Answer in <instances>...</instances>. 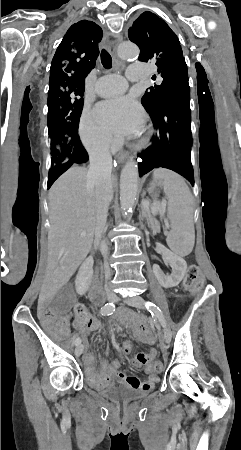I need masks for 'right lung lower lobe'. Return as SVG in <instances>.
Returning a JSON list of instances; mask_svg holds the SVG:
<instances>
[{
  "instance_id": "obj_1",
  "label": "right lung lower lobe",
  "mask_w": 241,
  "mask_h": 450,
  "mask_svg": "<svg viewBox=\"0 0 241 450\" xmlns=\"http://www.w3.org/2000/svg\"><path fill=\"white\" fill-rule=\"evenodd\" d=\"M62 132L70 145L72 153L67 162L55 165L49 170L48 188H50L54 181L73 164L86 163L88 161V154L82 146L78 136V127L65 129Z\"/></svg>"
}]
</instances>
